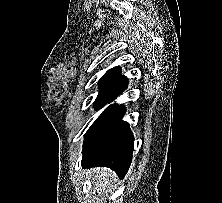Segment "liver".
Listing matches in <instances>:
<instances>
[{
	"label": "liver",
	"instance_id": "6515ba94",
	"mask_svg": "<svg viewBox=\"0 0 222 203\" xmlns=\"http://www.w3.org/2000/svg\"><path fill=\"white\" fill-rule=\"evenodd\" d=\"M94 180L98 184L100 190H104L106 186H111L112 179H114L115 174L106 168H94L89 172Z\"/></svg>",
	"mask_w": 222,
	"mask_h": 203
}]
</instances>
